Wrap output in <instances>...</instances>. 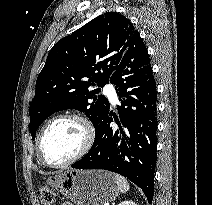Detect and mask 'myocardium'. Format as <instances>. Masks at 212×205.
I'll return each mask as SVG.
<instances>
[{
    "instance_id": "f54148a6",
    "label": "myocardium",
    "mask_w": 212,
    "mask_h": 205,
    "mask_svg": "<svg viewBox=\"0 0 212 205\" xmlns=\"http://www.w3.org/2000/svg\"><path fill=\"white\" fill-rule=\"evenodd\" d=\"M60 120H74L76 122H78L84 132V142L80 148V150L71 158H69L68 160L61 162V163H51L49 161L46 160V158L43 155L42 152V140L44 137L45 132L47 131V129L54 124L57 121ZM95 128L92 124V122L90 121V119L88 117H86L85 115L81 114V113H76V112H69V113H63V114H59L57 116H54L53 118H51L49 121H47L43 127L41 128L38 137H37V153H38V157L41 160V162L49 167L52 168H63L66 166H69L73 163H75L76 161L80 160L81 158H83L92 148L94 142H95Z\"/></svg>"
}]
</instances>
